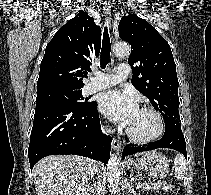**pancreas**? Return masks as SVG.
I'll use <instances>...</instances> for the list:
<instances>
[{"mask_svg": "<svg viewBox=\"0 0 211 195\" xmlns=\"http://www.w3.org/2000/svg\"><path fill=\"white\" fill-rule=\"evenodd\" d=\"M162 182H156L151 184H145L144 190H150V189H158L160 186H162Z\"/></svg>", "mask_w": 211, "mask_h": 195, "instance_id": "pancreas-1", "label": "pancreas"}]
</instances>
